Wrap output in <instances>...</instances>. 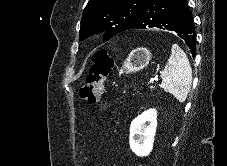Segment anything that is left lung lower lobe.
Masks as SVG:
<instances>
[{"instance_id":"left-lung-lower-lobe-1","label":"left lung lower lobe","mask_w":227,"mask_h":166,"mask_svg":"<svg viewBox=\"0 0 227 166\" xmlns=\"http://www.w3.org/2000/svg\"><path fill=\"white\" fill-rule=\"evenodd\" d=\"M152 27L178 33L195 56L194 21L186 0H148L132 29Z\"/></svg>"}]
</instances>
